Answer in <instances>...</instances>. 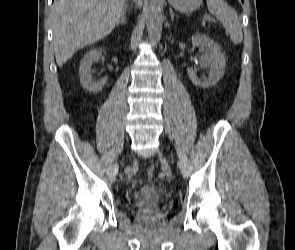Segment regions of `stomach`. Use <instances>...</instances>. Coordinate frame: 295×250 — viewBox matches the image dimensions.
I'll list each match as a JSON object with an SVG mask.
<instances>
[{
    "mask_svg": "<svg viewBox=\"0 0 295 250\" xmlns=\"http://www.w3.org/2000/svg\"><path fill=\"white\" fill-rule=\"evenodd\" d=\"M202 0H168L169 4L180 12H192L200 7Z\"/></svg>",
    "mask_w": 295,
    "mask_h": 250,
    "instance_id": "0dacf381",
    "label": "stomach"
}]
</instances>
